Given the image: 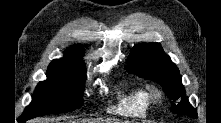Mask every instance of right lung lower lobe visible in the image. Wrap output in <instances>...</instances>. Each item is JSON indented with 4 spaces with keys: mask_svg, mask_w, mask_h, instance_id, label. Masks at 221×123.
Here are the masks:
<instances>
[{
    "mask_svg": "<svg viewBox=\"0 0 221 123\" xmlns=\"http://www.w3.org/2000/svg\"><path fill=\"white\" fill-rule=\"evenodd\" d=\"M29 118H27V117H24L23 115H22V120L23 121H26V120H28ZM31 119V118H30Z\"/></svg>",
    "mask_w": 221,
    "mask_h": 123,
    "instance_id": "right-lung-lower-lobe-1",
    "label": "right lung lower lobe"
}]
</instances>
